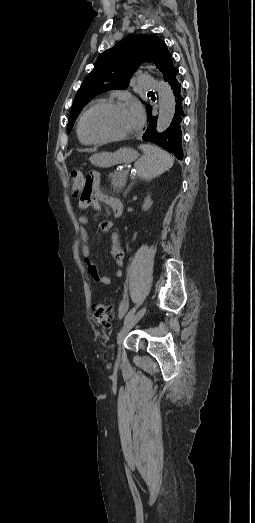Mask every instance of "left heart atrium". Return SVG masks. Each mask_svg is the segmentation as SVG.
I'll use <instances>...</instances> for the list:
<instances>
[{
  "mask_svg": "<svg viewBox=\"0 0 255 523\" xmlns=\"http://www.w3.org/2000/svg\"><path fill=\"white\" fill-rule=\"evenodd\" d=\"M132 106H133V108H134V110L136 112L138 120H142V118H143V111H142V108L140 107V105L137 104V103H134V104H132Z\"/></svg>",
  "mask_w": 255,
  "mask_h": 523,
  "instance_id": "1",
  "label": "left heart atrium"
}]
</instances>
